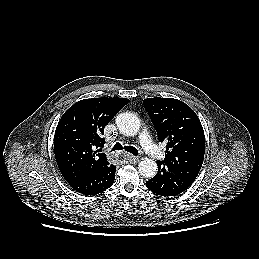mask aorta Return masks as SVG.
Wrapping results in <instances>:
<instances>
[{"instance_id": "1", "label": "aorta", "mask_w": 259, "mask_h": 259, "mask_svg": "<svg viewBox=\"0 0 259 259\" xmlns=\"http://www.w3.org/2000/svg\"><path fill=\"white\" fill-rule=\"evenodd\" d=\"M116 124L120 133L125 136H134L140 129V120L133 113H120L116 117ZM138 171L145 178H153L157 173V164L152 159L144 158L138 165Z\"/></svg>"}]
</instances>
